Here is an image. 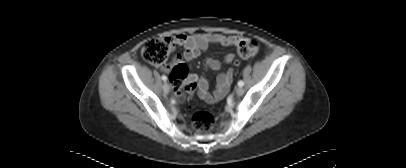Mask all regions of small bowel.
<instances>
[{
    "instance_id": "small-bowel-1",
    "label": "small bowel",
    "mask_w": 406,
    "mask_h": 168,
    "mask_svg": "<svg viewBox=\"0 0 406 168\" xmlns=\"http://www.w3.org/2000/svg\"><path fill=\"white\" fill-rule=\"evenodd\" d=\"M243 41V38L235 35H223L218 33H199L193 35L179 34L173 38V46L183 47L182 54H176L173 57L172 63H166L161 66L162 70L171 72L174 66L184 64V61H193L197 59L201 52L208 50L210 45H220L222 47H236ZM234 60V55L226 54L223 60H217L211 57L206 59V67L210 70H219L222 63L230 64ZM233 79V70L228 69L217 77L216 89L213 93L208 91V83L205 79L199 78L197 75L188 73L186 83H196L198 86L199 96L207 103H214L221 100L229 90Z\"/></svg>"
}]
</instances>
